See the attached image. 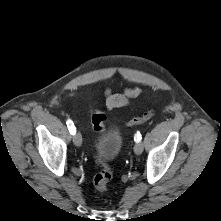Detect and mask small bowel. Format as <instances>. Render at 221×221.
Masks as SVG:
<instances>
[{
    "instance_id": "small-bowel-1",
    "label": "small bowel",
    "mask_w": 221,
    "mask_h": 221,
    "mask_svg": "<svg viewBox=\"0 0 221 221\" xmlns=\"http://www.w3.org/2000/svg\"><path fill=\"white\" fill-rule=\"evenodd\" d=\"M139 90L135 87L127 88L123 93H113L110 90L106 92V104L108 109H114L124 106L128 100L137 96Z\"/></svg>"
}]
</instances>
